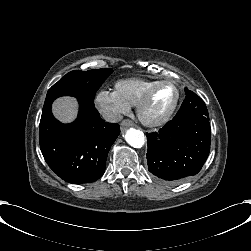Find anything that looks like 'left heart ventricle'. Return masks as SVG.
Listing matches in <instances>:
<instances>
[{
    "label": "left heart ventricle",
    "instance_id": "left-heart-ventricle-1",
    "mask_svg": "<svg viewBox=\"0 0 251 251\" xmlns=\"http://www.w3.org/2000/svg\"><path fill=\"white\" fill-rule=\"evenodd\" d=\"M179 90L175 83H162L152 95L147 108L146 116L152 120H158L167 114L177 103Z\"/></svg>",
    "mask_w": 251,
    "mask_h": 251
}]
</instances>
